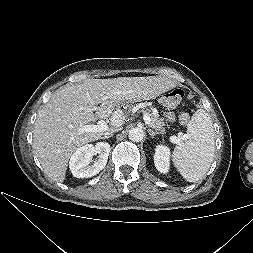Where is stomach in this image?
Instances as JSON below:
<instances>
[{
  "instance_id": "0dacf381",
  "label": "stomach",
  "mask_w": 253,
  "mask_h": 253,
  "mask_svg": "<svg viewBox=\"0 0 253 253\" xmlns=\"http://www.w3.org/2000/svg\"><path fill=\"white\" fill-rule=\"evenodd\" d=\"M161 103L163 105H166V102L168 100V95L164 94L161 97ZM118 110L122 113H129L132 110V101L129 98H122L118 103Z\"/></svg>"
}]
</instances>
